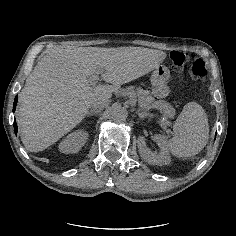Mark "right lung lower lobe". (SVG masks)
Segmentation results:
<instances>
[{"instance_id": "right-lung-lower-lobe-1", "label": "right lung lower lobe", "mask_w": 236, "mask_h": 236, "mask_svg": "<svg viewBox=\"0 0 236 236\" xmlns=\"http://www.w3.org/2000/svg\"><path fill=\"white\" fill-rule=\"evenodd\" d=\"M17 101H18V98H17V96H16V98H15V100H14L13 111H15V109H16ZM14 131H15V133L17 134V124H16V121H15V120H14Z\"/></svg>"}]
</instances>
